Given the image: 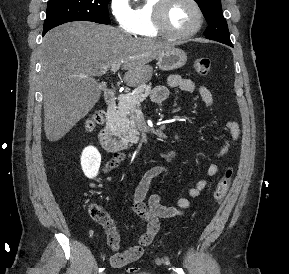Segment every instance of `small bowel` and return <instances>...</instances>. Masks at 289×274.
<instances>
[{"label":"small bowel","instance_id":"obj_1","mask_svg":"<svg viewBox=\"0 0 289 274\" xmlns=\"http://www.w3.org/2000/svg\"><path fill=\"white\" fill-rule=\"evenodd\" d=\"M169 88H178L185 92L197 91L201 100L208 106L212 105L214 98L212 93L202 85H196L192 80L182 78L179 75H171L168 78L167 86H157L153 91L152 98L157 103L164 102L169 96ZM228 137L224 141L220 150L215 154V158L219 159L225 156L238 140L240 135L239 125L235 121H230L226 125ZM125 159L123 153H114L112 158L106 162L103 167L104 172H110L116 169ZM220 171V166L211 164L207 168V175L216 176ZM168 172L165 165H155L148 169L138 183L134 195L132 211L138 216L144 224V232L138 239V242L123 252H118L120 238L115 231L113 234L107 233L108 245L115 253L109 258V264L113 268H121L132 262L137 261L144 253V249L149 246L156 237L161 219H170L181 216L184 211L191 207L192 203L187 197H179L176 206H167L162 203L163 193H153L147 202H145L147 193L154 179ZM209 181L201 179L188 190L190 198L199 197L208 187Z\"/></svg>","mask_w":289,"mask_h":274}]
</instances>
